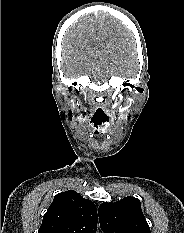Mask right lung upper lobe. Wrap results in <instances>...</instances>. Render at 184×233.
Instances as JSON below:
<instances>
[{"label":"right lung upper lobe","instance_id":"right-lung-upper-lobe-1","mask_svg":"<svg viewBox=\"0 0 184 233\" xmlns=\"http://www.w3.org/2000/svg\"><path fill=\"white\" fill-rule=\"evenodd\" d=\"M97 209L74 190L57 194L38 233H96Z\"/></svg>","mask_w":184,"mask_h":233}]
</instances>
